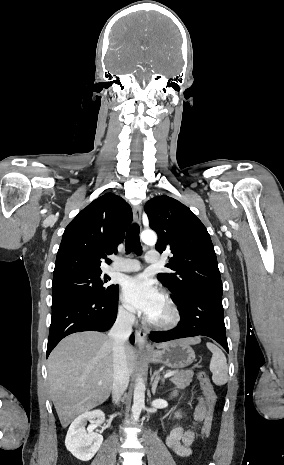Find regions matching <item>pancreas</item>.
<instances>
[{
    "instance_id": "obj_1",
    "label": "pancreas",
    "mask_w": 284,
    "mask_h": 465,
    "mask_svg": "<svg viewBox=\"0 0 284 465\" xmlns=\"http://www.w3.org/2000/svg\"><path fill=\"white\" fill-rule=\"evenodd\" d=\"M193 375L192 371H177L175 375H172L170 381L176 385L175 389H185L192 383Z\"/></svg>"
}]
</instances>
